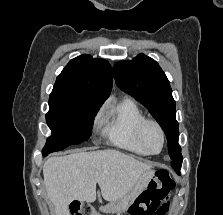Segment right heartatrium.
Returning <instances> with one entry per match:
<instances>
[{
    "instance_id": "right-heart-atrium-1",
    "label": "right heart atrium",
    "mask_w": 223,
    "mask_h": 215,
    "mask_svg": "<svg viewBox=\"0 0 223 215\" xmlns=\"http://www.w3.org/2000/svg\"><path fill=\"white\" fill-rule=\"evenodd\" d=\"M95 122H96V124H99L100 123L99 117L96 118V121Z\"/></svg>"
}]
</instances>
